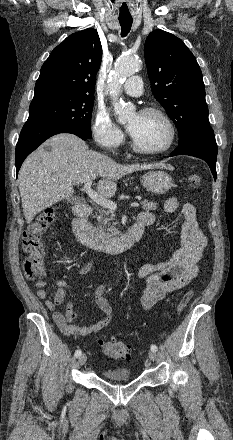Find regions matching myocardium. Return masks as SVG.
<instances>
[{"instance_id":"1","label":"myocardium","mask_w":233,"mask_h":440,"mask_svg":"<svg viewBox=\"0 0 233 440\" xmlns=\"http://www.w3.org/2000/svg\"><path fill=\"white\" fill-rule=\"evenodd\" d=\"M140 114H152V115H157L159 116L167 125L168 129H169V138L168 141L166 143V145H164L162 148L156 149V150H148L145 149L143 147H141L136 140L133 138V136L130 133V145L131 148L139 154L142 155H147V156H156V155H160L163 154L165 152H167L168 150H170L172 148V146L175 143L176 140V128L175 125L172 121V119L169 117V115L163 111L160 108H156V107H146L143 108L140 111Z\"/></svg>"}]
</instances>
